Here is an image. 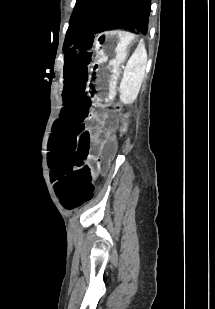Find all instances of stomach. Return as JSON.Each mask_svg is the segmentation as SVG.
Listing matches in <instances>:
<instances>
[{"instance_id": "stomach-1", "label": "stomach", "mask_w": 215, "mask_h": 309, "mask_svg": "<svg viewBox=\"0 0 215 309\" xmlns=\"http://www.w3.org/2000/svg\"><path fill=\"white\" fill-rule=\"evenodd\" d=\"M138 37L125 30H109L99 34L94 43L95 57L90 68L88 86L94 89L95 100H108L114 95L120 65ZM142 42H138V46Z\"/></svg>"}]
</instances>
